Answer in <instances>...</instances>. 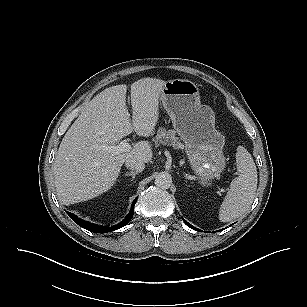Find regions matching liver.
I'll return each instance as SVG.
<instances>
[{"instance_id": "1", "label": "liver", "mask_w": 307, "mask_h": 307, "mask_svg": "<svg viewBox=\"0 0 307 307\" xmlns=\"http://www.w3.org/2000/svg\"><path fill=\"white\" fill-rule=\"evenodd\" d=\"M165 84L163 80L148 77L130 86L132 121L125 84L106 88L88 103L64 135L53 164L57 195L64 205L106 192L128 158L151 161L153 152L148 141H139L129 152L118 154L105 147L115 145L133 131L143 137L153 134Z\"/></svg>"}]
</instances>
